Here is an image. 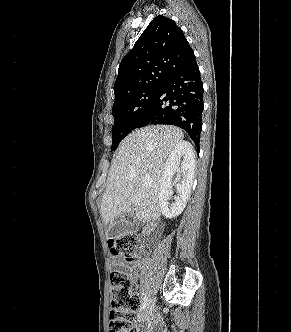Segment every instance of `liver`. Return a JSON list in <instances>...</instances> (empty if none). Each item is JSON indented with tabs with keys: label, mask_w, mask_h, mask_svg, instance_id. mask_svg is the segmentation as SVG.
Segmentation results:
<instances>
[{
	"label": "liver",
	"mask_w": 291,
	"mask_h": 332,
	"mask_svg": "<svg viewBox=\"0 0 291 332\" xmlns=\"http://www.w3.org/2000/svg\"><path fill=\"white\" fill-rule=\"evenodd\" d=\"M174 126H147L131 132L119 145L101 201V216L107 236L118 216L135 206L137 219L146 222L160 217L158 200L161 176L174 148L183 142ZM133 197L140 199L139 204Z\"/></svg>",
	"instance_id": "6515ba94"
}]
</instances>
